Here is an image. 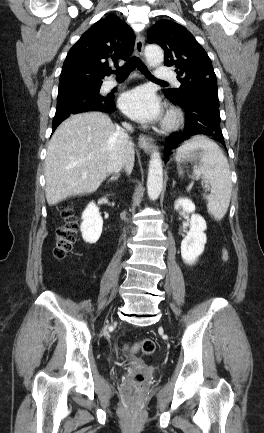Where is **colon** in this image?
I'll return each instance as SVG.
<instances>
[{
    "instance_id": "5ec220e1",
    "label": "colon",
    "mask_w": 264,
    "mask_h": 433,
    "mask_svg": "<svg viewBox=\"0 0 264 433\" xmlns=\"http://www.w3.org/2000/svg\"><path fill=\"white\" fill-rule=\"evenodd\" d=\"M58 211L62 224L56 233L54 255L57 259H63L71 252L77 241L78 221L74 215L71 203H60ZM222 258L224 261L229 260V251L227 248H223ZM155 348V342L151 339H143L133 345L126 346L127 351L131 353L141 352L146 355L152 354Z\"/></svg>"
}]
</instances>
